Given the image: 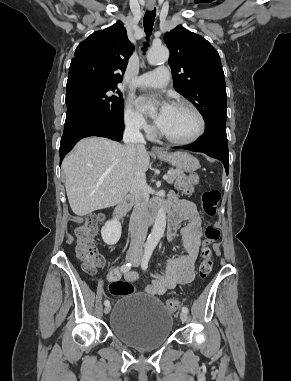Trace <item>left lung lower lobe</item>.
I'll return each instance as SVG.
<instances>
[{"label":"left lung lower lobe","mask_w":291,"mask_h":381,"mask_svg":"<svg viewBox=\"0 0 291 381\" xmlns=\"http://www.w3.org/2000/svg\"><path fill=\"white\" fill-rule=\"evenodd\" d=\"M175 148L202 152L210 157L216 158L224 164L226 173L228 174L229 157L226 128L205 130L204 135L196 143Z\"/></svg>","instance_id":"left-lung-lower-lobe-1"}]
</instances>
